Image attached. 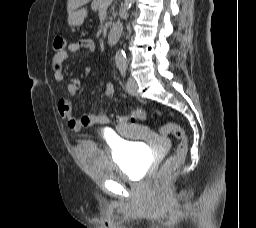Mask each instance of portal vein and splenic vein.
Segmentation results:
<instances>
[{"label": "portal vein and splenic vein", "mask_w": 256, "mask_h": 228, "mask_svg": "<svg viewBox=\"0 0 256 228\" xmlns=\"http://www.w3.org/2000/svg\"><path fill=\"white\" fill-rule=\"evenodd\" d=\"M113 0H102V2L106 5H109Z\"/></svg>", "instance_id": "1"}]
</instances>
